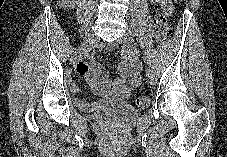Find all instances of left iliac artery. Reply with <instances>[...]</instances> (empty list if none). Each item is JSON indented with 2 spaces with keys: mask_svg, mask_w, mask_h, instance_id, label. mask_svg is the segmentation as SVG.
<instances>
[{
  "mask_svg": "<svg viewBox=\"0 0 227 157\" xmlns=\"http://www.w3.org/2000/svg\"><path fill=\"white\" fill-rule=\"evenodd\" d=\"M132 35H133V37H139V36H138V35H139V34H138V30H137V29H134ZM139 39H140V38H139ZM141 47H142V49H143L144 58H145L146 63H147V65H148V67H149L150 63H149V56H148V53L146 52L145 47H144L143 44H141Z\"/></svg>",
  "mask_w": 227,
  "mask_h": 157,
  "instance_id": "obj_1",
  "label": "left iliac artery"
}]
</instances>
